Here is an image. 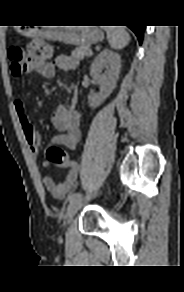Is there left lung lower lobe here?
Masks as SVG:
<instances>
[{"label": "left lung lower lobe", "mask_w": 184, "mask_h": 292, "mask_svg": "<svg viewBox=\"0 0 184 292\" xmlns=\"http://www.w3.org/2000/svg\"><path fill=\"white\" fill-rule=\"evenodd\" d=\"M137 36L139 43H142L143 33L145 30V26L142 25H131L128 26Z\"/></svg>", "instance_id": "0a47b994"}]
</instances>
